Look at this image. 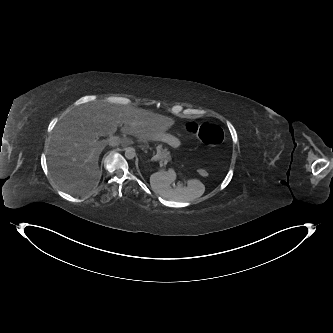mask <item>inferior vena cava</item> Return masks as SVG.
Here are the masks:
<instances>
[{
    "label": "inferior vena cava",
    "instance_id": "inferior-vena-cava-1",
    "mask_svg": "<svg viewBox=\"0 0 333 333\" xmlns=\"http://www.w3.org/2000/svg\"><path fill=\"white\" fill-rule=\"evenodd\" d=\"M109 145H110V146H118L119 143H118V142H112V141H111V142H109Z\"/></svg>",
    "mask_w": 333,
    "mask_h": 333
}]
</instances>
